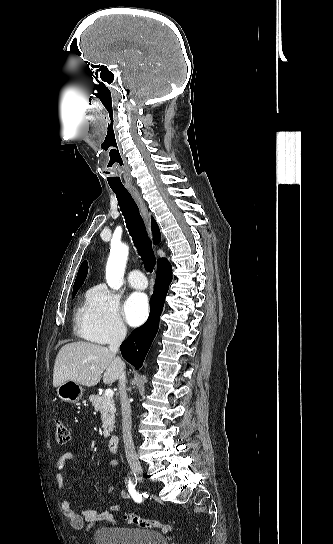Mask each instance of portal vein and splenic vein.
<instances>
[{
  "label": "portal vein and splenic vein",
  "mask_w": 333,
  "mask_h": 544,
  "mask_svg": "<svg viewBox=\"0 0 333 544\" xmlns=\"http://www.w3.org/2000/svg\"><path fill=\"white\" fill-rule=\"evenodd\" d=\"M104 394H105V396H107V397H109V398H112L113 395H114V392H113V390H111V389H107V390H105V393H104Z\"/></svg>",
  "instance_id": "portal-vein-and-splenic-vein-1"
}]
</instances>
